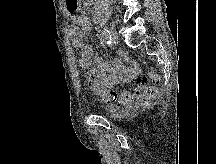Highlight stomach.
<instances>
[{"label": "stomach", "mask_w": 216, "mask_h": 164, "mask_svg": "<svg viewBox=\"0 0 216 164\" xmlns=\"http://www.w3.org/2000/svg\"><path fill=\"white\" fill-rule=\"evenodd\" d=\"M66 6H67V12L69 13L70 17H77L76 10H79L81 0H65Z\"/></svg>", "instance_id": "stomach-1"}]
</instances>
